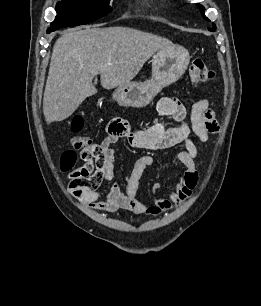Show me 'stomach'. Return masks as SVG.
I'll return each mask as SVG.
<instances>
[{
  "label": "stomach",
  "instance_id": "0dacf381",
  "mask_svg": "<svg viewBox=\"0 0 261 306\" xmlns=\"http://www.w3.org/2000/svg\"><path fill=\"white\" fill-rule=\"evenodd\" d=\"M189 61V53L184 47L175 44L164 47L153 56L152 77L149 80L118 86L112 97L123 107H145L162 88L176 82L184 74Z\"/></svg>",
  "mask_w": 261,
  "mask_h": 306
}]
</instances>
